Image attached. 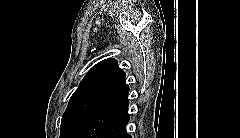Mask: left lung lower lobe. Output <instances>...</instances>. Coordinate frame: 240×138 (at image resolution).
Here are the masks:
<instances>
[{"mask_svg": "<svg viewBox=\"0 0 240 138\" xmlns=\"http://www.w3.org/2000/svg\"><path fill=\"white\" fill-rule=\"evenodd\" d=\"M129 87L125 79L115 94L99 110L79 138H131L126 133Z\"/></svg>", "mask_w": 240, "mask_h": 138, "instance_id": "obj_1", "label": "left lung lower lobe"}]
</instances>
